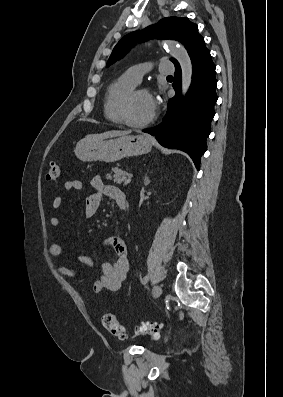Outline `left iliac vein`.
I'll use <instances>...</instances> for the list:
<instances>
[{
	"label": "left iliac vein",
	"instance_id": "1",
	"mask_svg": "<svg viewBox=\"0 0 283 397\" xmlns=\"http://www.w3.org/2000/svg\"><path fill=\"white\" fill-rule=\"evenodd\" d=\"M161 294H162V288L159 285L155 286V288L153 290V298H155V299L159 298L161 296Z\"/></svg>",
	"mask_w": 283,
	"mask_h": 397
}]
</instances>
